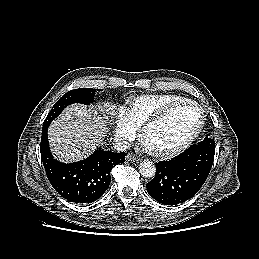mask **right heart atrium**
Wrapping results in <instances>:
<instances>
[{
    "mask_svg": "<svg viewBox=\"0 0 259 259\" xmlns=\"http://www.w3.org/2000/svg\"><path fill=\"white\" fill-rule=\"evenodd\" d=\"M111 123L115 136L121 144L126 145L135 139L137 128L132 124L124 109L118 108L115 110Z\"/></svg>",
    "mask_w": 259,
    "mask_h": 259,
    "instance_id": "obj_1",
    "label": "right heart atrium"
}]
</instances>
